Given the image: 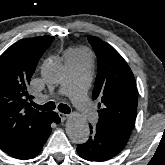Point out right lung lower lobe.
Instances as JSON below:
<instances>
[{
  "label": "right lung lower lobe",
  "instance_id": "98d812e1",
  "mask_svg": "<svg viewBox=\"0 0 165 165\" xmlns=\"http://www.w3.org/2000/svg\"><path fill=\"white\" fill-rule=\"evenodd\" d=\"M52 123H60V118L55 112H50L41 125L17 135L1 149L16 159L36 157L50 135Z\"/></svg>",
  "mask_w": 165,
  "mask_h": 165
}]
</instances>
